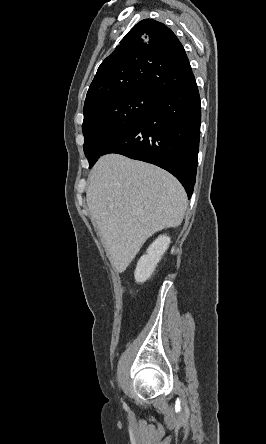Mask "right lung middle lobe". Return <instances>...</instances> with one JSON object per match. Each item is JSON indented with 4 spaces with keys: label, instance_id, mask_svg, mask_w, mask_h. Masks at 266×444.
<instances>
[{
    "label": "right lung middle lobe",
    "instance_id": "obj_1",
    "mask_svg": "<svg viewBox=\"0 0 266 444\" xmlns=\"http://www.w3.org/2000/svg\"><path fill=\"white\" fill-rule=\"evenodd\" d=\"M158 99L157 95L145 91L124 92L103 99L85 110L83 148L89 168L112 140L143 120Z\"/></svg>",
    "mask_w": 266,
    "mask_h": 444
}]
</instances>
